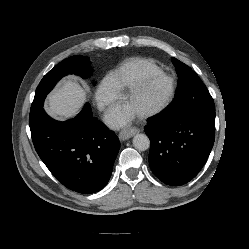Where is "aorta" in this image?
Listing matches in <instances>:
<instances>
[{
    "instance_id": "762f6f07",
    "label": "aorta",
    "mask_w": 249,
    "mask_h": 249,
    "mask_svg": "<svg viewBox=\"0 0 249 249\" xmlns=\"http://www.w3.org/2000/svg\"><path fill=\"white\" fill-rule=\"evenodd\" d=\"M132 141L135 149L139 151H145L150 147V140L145 134H136Z\"/></svg>"
}]
</instances>
